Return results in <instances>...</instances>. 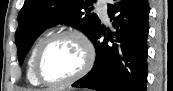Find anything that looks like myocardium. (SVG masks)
Returning <instances> with one entry per match:
<instances>
[{"label":"myocardium","mask_w":173,"mask_h":91,"mask_svg":"<svg viewBox=\"0 0 173 91\" xmlns=\"http://www.w3.org/2000/svg\"><path fill=\"white\" fill-rule=\"evenodd\" d=\"M63 37L74 38L80 43L84 51V63L82 67L80 68V70L77 71L74 75L70 76L69 78L59 82H50L44 79L41 74V71H40L41 59L46 48L56 39L63 38ZM95 59H96L95 45L92 42V40L88 37V35L76 29L61 30L47 36L38 47L34 57V62H33L34 75L36 79L45 86L53 87V88L64 87L85 76L93 67Z\"/></svg>","instance_id":"obj_1"}]
</instances>
